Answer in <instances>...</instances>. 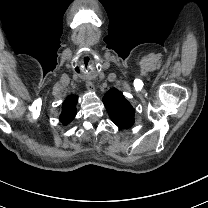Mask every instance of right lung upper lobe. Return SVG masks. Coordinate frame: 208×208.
I'll return each instance as SVG.
<instances>
[{
	"mask_svg": "<svg viewBox=\"0 0 208 208\" xmlns=\"http://www.w3.org/2000/svg\"><path fill=\"white\" fill-rule=\"evenodd\" d=\"M78 97L69 96L62 105V113L60 115V122L64 125L70 123L76 115V104Z\"/></svg>",
	"mask_w": 208,
	"mask_h": 208,
	"instance_id": "1",
	"label": "right lung upper lobe"
}]
</instances>
